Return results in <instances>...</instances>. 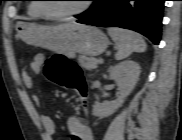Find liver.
<instances>
[{
    "label": "liver",
    "instance_id": "6515ba94",
    "mask_svg": "<svg viewBox=\"0 0 182 140\" xmlns=\"http://www.w3.org/2000/svg\"><path fill=\"white\" fill-rule=\"evenodd\" d=\"M75 25H79V24H76V23H66V24H63V25H59L58 27H71V26H75Z\"/></svg>",
    "mask_w": 182,
    "mask_h": 140
}]
</instances>
